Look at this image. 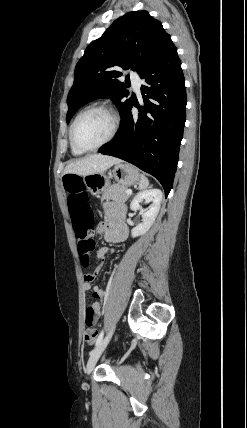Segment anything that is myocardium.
<instances>
[{
	"instance_id": "1",
	"label": "myocardium",
	"mask_w": 247,
	"mask_h": 428,
	"mask_svg": "<svg viewBox=\"0 0 247 428\" xmlns=\"http://www.w3.org/2000/svg\"><path fill=\"white\" fill-rule=\"evenodd\" d=\"M94 110H100L105 112L111 119V130L109 135L99 144L92 146V147H83L81 145H79L74 137V130H75V126L76 123L78 122V120L80 119L81 116H83L84 114L90 112V111H94ZM119 126H120V118L118 113L110 106L106 105V104H93L90 105L88 107H86L85 109H83L82 111H80L76 117L74 118L71 127H70V131H69V138H70V143L73 147H75L76 149L83 151V152H89V151H95L98 150L99 148L107 145L109 142H111L114 137L116 136L118 130H119Z\"/></svg>"
}]
</instances>
